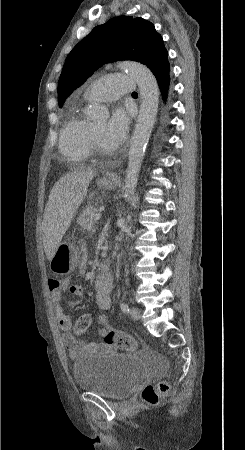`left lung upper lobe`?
I'll return each instance as SVG.
<instances>
[{
	"label": "left lung upper lobe",
	"instance_id": "obj_1",
	"mask_svg": "<svg viewBox=\"0 0 245 450\" xmlns=\"http://www.w3.org/2000/svg\"><path fill=\"white\" fill-rule=\"evenodd\" d=\"M168 53L155 27L143 18L119 16L95 27L69 53L58 83V103L99 67L115 60H135L152 72L168 61Z\"/></svg>",
	"mask_w": 245,
	"mask_h": 450
}]
</instances>
